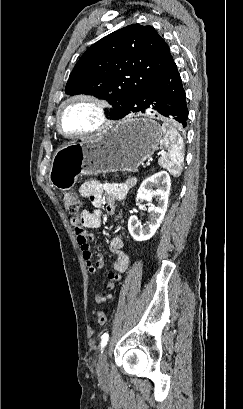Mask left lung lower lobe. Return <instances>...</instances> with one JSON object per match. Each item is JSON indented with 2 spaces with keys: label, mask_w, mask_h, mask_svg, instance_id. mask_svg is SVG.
<instances>
[{
  "label": "left lung lower lobe",
  "mask_w": 243,
  "mask_h": 409,
  "mask_svg": "<svg viewBox=\"0 0 243 409\" xmlns=\"http://www.w3.org/2000/svg\"><path fill=\"white\" fill-rule=\"evenodd\" d=\"M136 112L159 113L187 126L185 91L176 64L148 84L133 100L127 114Z\"/></svg>",
  "instance_id": "1"
}]
</instances>
